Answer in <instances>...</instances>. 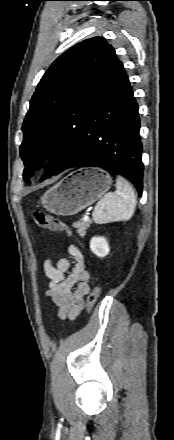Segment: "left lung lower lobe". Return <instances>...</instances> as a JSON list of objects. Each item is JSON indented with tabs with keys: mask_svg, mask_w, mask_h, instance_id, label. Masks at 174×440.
I'll return each mask as SVG.
<instances>
[{
	"mask_svg": "<svg viewBox=\"0 0 174 440\" xmlns=\"http://www.w3.org/2000/svg\"><path fill=\"white\" fill-rule=\"evenodd\" d=\"M139 129L138 105L119 61L106 89L86 117L78 153L60 172L79 166L106 168L130 180L141 195L143 163Z\"/></svg>",
	"mask_w": 174,
	"mask_h": 440,
	"instance_id": "obj_1",
	"label": "left lung lower lobe"
}]
</instances>
